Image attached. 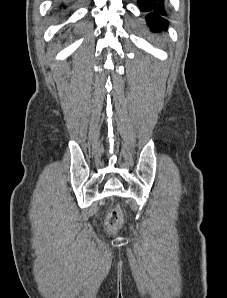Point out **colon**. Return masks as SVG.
Returning a JSON list of instances; mask_svg holds the SVG:
<instances>
[{
	"label": "colon",
	"mask_w": 227,
	"mask_h": 298,
	"mask_svg": "<svg viewBox=\"0 0 227 298\" xmlns=\"http://www.w3.org/2000/svg\"><path fill=\"white\" fill-rule=\"evenodd\" d=\"M121 225V214L118 211H112L105 220V230L108 234L117 232Z\"/></svg>",
	"instance_id": "colon-1"
}]
</instances>
